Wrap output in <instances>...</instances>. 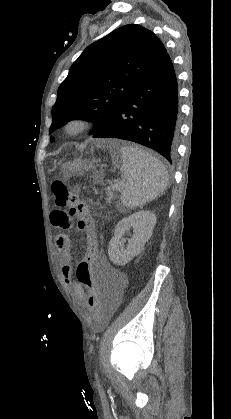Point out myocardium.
Returning <instances> with one entry per match:
<instances>
[{
  "label": "myocardium",
  "instance_id": "obj_1",
  "mask_svg": "<svg viewBox=\"0 0 231 419\" xmlns=\"http://www.w3.org/2000/svg\"><path fill=\"white\" fill-rule=\"evenodd\" d=\"M91 122L81 116L68 119L63 126L64 132L69 136H77L90 130Z\"/></svg>",
  "mask_w": 231,
  "mask_h": 419
}]
</instances>
